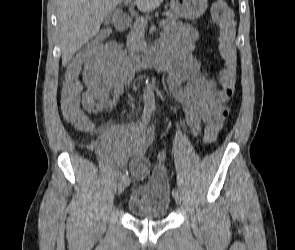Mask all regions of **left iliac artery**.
<instances>
[{
	"mask_svg": "<svg viewBox=\"0 0 295 250\" xmlns=\"http://www.w3.org/2000/svg\"><path fill=\"white\" fill-rule=\"evenodd\" d=\"M172 194H173V195H176V194L178 195V190H177L176 188H173V190H172Z\"/></svg>",
	"mask_w": 295,
	"mask_h": 250,
	"instance_id": "obj_1",
	"label": "left iliac artery"
}]
</instances>
